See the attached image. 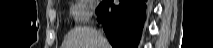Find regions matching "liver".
I'll list each match as a JSON object with an SVG mask.
<instances>
[{
  "label": "liver",
  "instance_id": "1",
  "mask_svg": "<svg viewBox=\"0 0 213 48\" xmlns=\"http://www.w3.org/2000/svg\"><path fill=\"white\" fill-rule=\"evenodd\" d=\"M61 48H111V45L96 29L79 26L66 35Z\"/></svg>",
  "mask_w": 213,
  "mask_h": 48
}]
</instances>
